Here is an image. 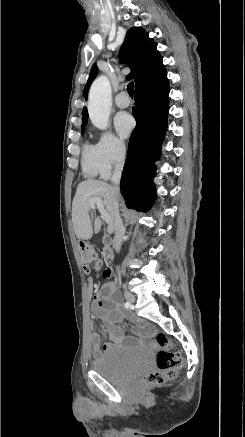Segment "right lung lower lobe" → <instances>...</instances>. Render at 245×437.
Wrapping results in <instances>:
<instances>
[{
  "label": "right lung lower lobe",
  "mask_w": 245,
  "mask_h": 437,
  "mask_svg": "<svg viewBox=\"0 0 245 437\" xmlns=\"http://www.w3.org/2000/svg\"><path fill=\"white\" fill-rule=\"evenodd\" d=\"M169 111L168 79L135 90L136 127L129 140L120 189L126 206L147 212L156 197L154 161L160 157ZM134 175H131V173Z\"/></svg>",
  "instance_id": "1"
}]
</instances>
